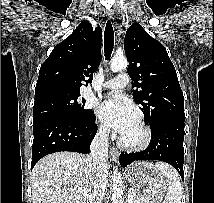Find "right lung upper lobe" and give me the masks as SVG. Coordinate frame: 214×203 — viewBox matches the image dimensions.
I'll use <instances>...</instances> for the list:
<instances>
[{"label":"right lung upper lobe","mask_w":214,"mask_h":203,"mask_svg":"<svg viewBox=\"0 0 214 203\" xmlns=\"http://www.w3.org/2000/svg\"><path fill=\"white\" fill-rule=\"evenodd\" d=\"M102 31L83 21L64 41L57 44L41 65L35 98L51 93H79L100 64Z\"/></svg>","instance_id":"1"}]
</instances>
